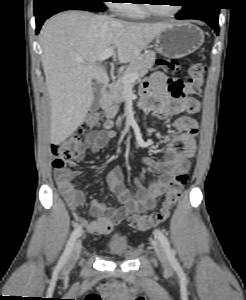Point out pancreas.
<instances>
[{
  "label": "pancreas",
  "instance_id": "pancreas-1",
  "mask_svg": "<svg viewBox=\"0 0 246 300\" xmlns=\"http://www.w3.org/2000/svg\"><path fill=\"white\" fill-rule=\"evenodd\" d=\"M154 63V52L143 53L127 66L126 70L123 73V76L128 74H135L137 75L136 80H139L141 77L147 74L148 70L151 69ZM136 80L131 82L129 85H125L122 79H119L110 88V90L105 93L101 102V106L108 116L114 117L117 114L119 109L118 104L123 100L125 88L128 86L133 87L136 83Z\"/></svg>",
  "mask_w": 246,
  "mask_h": 300
}]
</instances>
